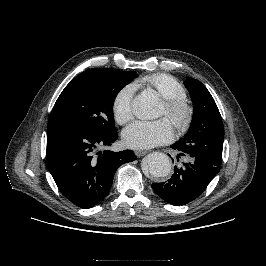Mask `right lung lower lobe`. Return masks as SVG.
Returning <instances> with one entry per match:
<instances>
[{
    "label": "right lung lower lobe",
    "mask_w": 266,
    "mask_h": 266,
    "mask_svg": "<svg viewBox=\"0 0 266 266\" xmlns=\"http://www.w3.org/2000/svg\"><path fill=\"white\" fill-rule=\"evenodd\" d=\"M117 137L115 130L96 133L68 124H48L46 167L73 204L81 208L98 204L110 191L118 167L137 159L132 150L98 151Z\"/></svg>",
    "instance_id": "1"
}]
</instances>
